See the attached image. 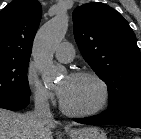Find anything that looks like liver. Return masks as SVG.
Listing matches in <instances>:
<instances>
[{"label": "liver", "instance_id": "1", "mask_svg": "<svg viewBox=\"0 0 141 139\" xmlns=\"http://www.w3.org/2000/svg\"><path fill=\"white\" fill-rule=\"evenodd\" d=\"M54 120L39 124L32 112L15 113L0 108V139H53Z\"/></svg>", "mask_w": 141, "mask_h": 139}]
</instances>
